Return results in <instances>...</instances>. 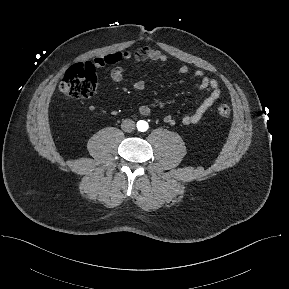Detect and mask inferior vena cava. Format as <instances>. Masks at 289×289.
I'll return each mask as SVG.
<instances>
[{
	"label": "inferior vena cava",
	"mask_w": 289,
	"mask_h": 289,
	"mask_svg": "<svg viewBox=\"0 0 289 289\" xmlns=\"http://www.w3.org/2000/svg\"><path fill=\"white\" fill-rule=\"evenodd\" d=\"M121 128L125 132H132L135 129V122L131 119H125L121 124Z\"/></svg>",
	"instance_id": "obj_1"
}]
</instances>
